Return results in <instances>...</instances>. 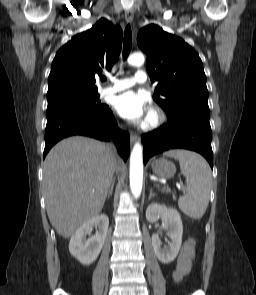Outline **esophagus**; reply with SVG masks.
Masks as SVG:
<instances>
[{"label": "esophagus", "mask_w": 256, "mask_h": 295, "mask_svg": "<svg viewBox=\"0 0 256 295\" xmlns=\"http://www.w3.org/2000/svg\"><path fill=\"white\" fill-rule=\"evenodd\" d=\"M133 16H134V14H133L132 10H127L126 11L125 18H126L127 22H131L133 20ZM129 134H130L131 142L133 143L134 141H136L137 135L132 131H130Z\"/></svg>", "instance_id": "esophagus-1"}]
</instances>
